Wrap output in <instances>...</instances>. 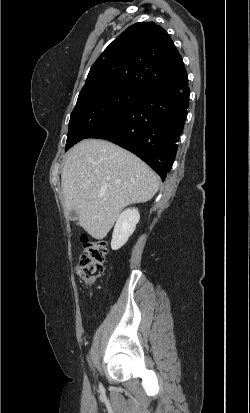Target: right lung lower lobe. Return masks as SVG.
I'll use <instances>...</instances> for the list:
<instances>
[{"instance_id":"1","label":"right lung lower lobe","mask_w":250,"mask_h":413,"mask_svg":"<svg viewBox=\"0 0 250 413\" xmlns=\"http://www.w3.org/2000/svg\"><path fill=\"white\" fill-rule=\"evenodd\" d=\"M189 94L188 81L141 92L86 138L105 139L131 151L164 180L175 160Z\"/></svg>"}]
</instances>
